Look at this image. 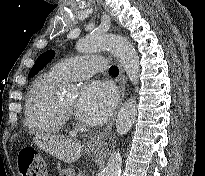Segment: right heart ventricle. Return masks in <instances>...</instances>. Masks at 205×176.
Here are the masks:
<instances>
[{"label":"right heart ventricle","instance_id":"obj_1","mask_svg":"<svg viewBox=\"0 0 205 176\" xmlns=\"http://www.w3.org/2000/svg\"><path fill=\"white\" fill-rule=\"evenodd\" d=\"M64 83L52 71L39 75L25 98V123L35 133L60 134L65 118L58 111L54 98L56 88Z\"/></svg>","mask_w":205,"mask_h":176}]
</instances>
